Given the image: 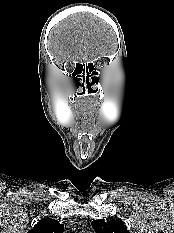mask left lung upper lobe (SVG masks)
<instances>
[{"label":"left lung upper lobe","instance_id":"obj_1","mask_svg":"<svg viewBox=\"0 0 174 233\" xmlns=\"http://www.w3.org/2000/svg\"><path fill=\"white\" fill-rule=\"evenodd\" d=\"M96 233H130L122 220H93L91 223Z\"/></svg>","mask_w":174,"mask_h":233}]
</instances>
